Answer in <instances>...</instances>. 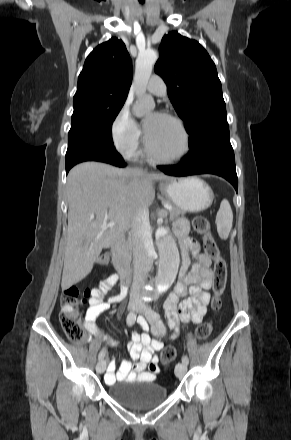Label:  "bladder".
<instances>
[{
    "mask_svg": "<svg viewBox=\"0 0 291 440\" xmlns=\"http://www.w3.org/2000/svg\"><path fill=\"white\" fill-rule=\"evenodd\" d=\"M167 389L144 379L127 380L109 385L108 394L112 400L126 407L139 408L164 401Z\"/></svg>",
    "mask_w": 291,
    "mask_h": 440,
    "instance_id": "31cf9c89",
    "label": "bladder"
}]
</instances>
